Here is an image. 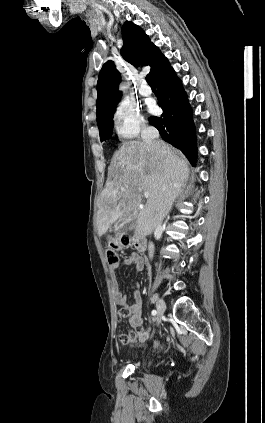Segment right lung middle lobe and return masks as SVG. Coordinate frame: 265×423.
Returning <instances> with one entry per match:
<instances>
[{
    "instance_id": "1",
    "label": "right lung middle lobe",
    "mask_w": 265,
    "mask_h": 423,
    "mask_svg": "<svg viewBox=\"0 0 265 423\" xmlns=\"http://www.w3.org/2000/svg\"><path fill=\"white\" fill-rule=\"evenodd\" d=\"M115 110L110 112L101 123L98 124L100 140L105 141L110 139L112 136V129H113V114Z\"/></svg>"
}]
</instances>
